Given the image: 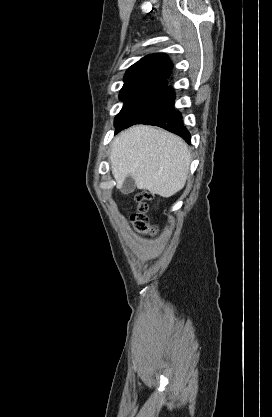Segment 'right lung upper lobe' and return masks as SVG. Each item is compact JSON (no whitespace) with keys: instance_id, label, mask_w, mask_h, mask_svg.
Wrapping results in <instances>:
<instances>
[{"instance_id":"cb5924a9","label":"right lung upper lobe","mask_w":272,"mask_h":417,"mask_svg":"<svg viewBox=\"0 0 272 417\" xmlns=\"http://www.w3.org/2000/svg\"><path fill=\"white\" fill-rule=\"evenodd\" d=\"M171 69L172 64L165 54L148 55L127 70L120 92L164 89Z\"/></svg>"}]
</instances>
